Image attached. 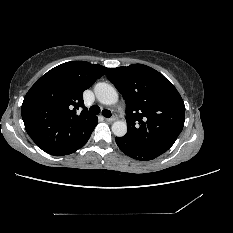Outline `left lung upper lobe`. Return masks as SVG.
<instances>
[{
    "label": "left lung upper lobe",
    "instance_id": "left-lung-upper-lobe-1",
    "mask_svg": "<svg viewBox=\"0 0 233 233\" xmlns=\"http://www.w3.org/2000/svg\"><path fill=\"white\" fill-rule=\"evenodd\" d=\"M107 77L126 102L124 137L161 154L170 149L185 121V105L173 84L143 64L108 68Z\"/></svg>",
    "mask_w": 233,
    "mask_h": 233
}]
</instances>
